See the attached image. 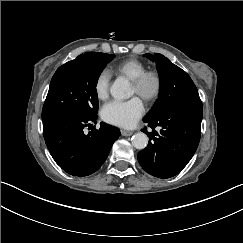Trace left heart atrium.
Returning a JSON list of instances; mask_svg holds the SVG:
<instances>
[{
	"label": "left heart atrium",
	"mask_w": 243,
	"mask_h": 243,
	"mask_svg": "<svg viewBox=\"0 0 243 243\" xmlns=\"http://www.w3.org/2000/svg\"><path fill=\"white\" fill-rule=\"evenodd\" d=\"M145 112L144 103L138 96L129 100H111L101 109V116L107 123L128 127L132 126Z\"/></svg>",
	"instance_id": "39dd6f15"
}]
</instances>
